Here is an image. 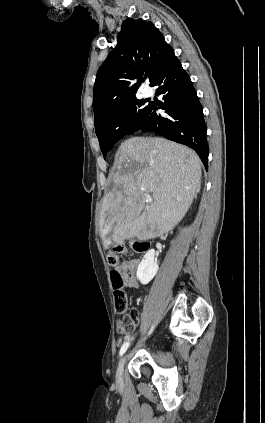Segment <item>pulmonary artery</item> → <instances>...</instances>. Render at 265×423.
I'll return each mask as SVG.
<instances>
[{
    "label": "pulmonary artery",
    "mask_w": 265,
    "mask_h": 423,
    "mask_svg": "<svg viewBox=\"0 0 265 423\" xmlns=\"http://www.w3.org/2000/svg\"><path fill=\"white\" fill-rule=\"evenodd\" d=\"M150 94H151L150 89H145V90H144V95H145V96H149Z\"/></svg>",
    "instance_id": "obj_1"
}]
</instances>
